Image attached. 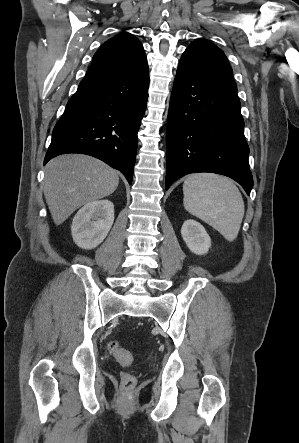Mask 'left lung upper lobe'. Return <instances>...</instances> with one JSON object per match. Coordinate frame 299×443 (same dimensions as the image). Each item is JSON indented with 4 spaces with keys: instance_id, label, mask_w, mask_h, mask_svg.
<instances>
[{
    "instance_id": "5c2ea615",
    "label": "left lung upper lobe",
    "mask_w": 299,
    "mask_h": 443,
    "mask_svg": "<svg viewBox=\"0 0 299 443\" xmlns=\"http://www.w3.org/2000/svg\"><path fill=\"white\" fill-rule=\"evenodd\" d=\"M178 68L237 91L224 52L208 40L193 41L182 54Z\"/></svg>"
}]
</instances>
